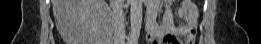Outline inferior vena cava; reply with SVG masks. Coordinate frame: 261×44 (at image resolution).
Returning <instances> with one entry per match:
<instances>
[{
    "mask_svg": "<svg viewBox=\"0 0 261 44\" xmlns=\"http://www.w3.org/2000/svg\"><path fill=\"white\" fill-rule=\"evenodd\" d=\"M117 1L119 5L113 7V21L116 25L118 35L121 38H123L125 36V26L123 23V10H122V6L120 5L122 0H117Z\"/></svg>",
    "mask_w": 261,
    "mask_h": 44,
    "instance_id": "obj_1",
    "label": "inferior vena cava"
}]
</instances>
